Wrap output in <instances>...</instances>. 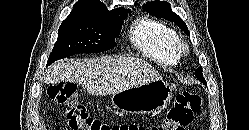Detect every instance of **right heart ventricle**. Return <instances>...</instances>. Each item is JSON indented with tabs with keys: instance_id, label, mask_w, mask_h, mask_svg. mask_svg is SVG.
Returning a JSON list of instances; mask_svg holds the SVG:
<instances>
[{
	"instance_id": "1",
	"label": "right heart ventricle",
	"mask_w": 249,
	"mask_h": 130,
	"mask_svg": "<svg viewBox=\"0 0 249 130\" xmlns=\"http://www.w3.org/2000/svg\"><path fill=\"white\" fill-rule=\"evenodd\" d=\"M132 44L146 57L165 65L177 63L176 32L166 24L148 17L137 19L130 29Z\"/></svg>"
}]
</instances>
